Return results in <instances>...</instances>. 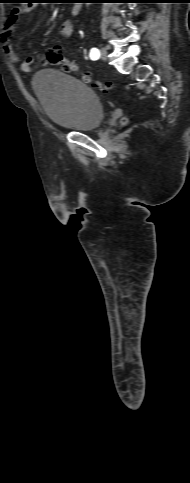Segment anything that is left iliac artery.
<instances>
[{"label":"left iliac artery","mask_w":190,"mask_h":483,"mask_svg":"<svg viewBox=\"0 0 190 483\" xmlns=\"http://www.w3.org/2000/svg\"><path fill=\"white\" fill-rule=\"evenodd\" d=\"M100 57V52L97 48H92L90 51V58L92 60H97Z\"/></svg>","instance_id":"left-iliac-artery-1"}]
</instances>
